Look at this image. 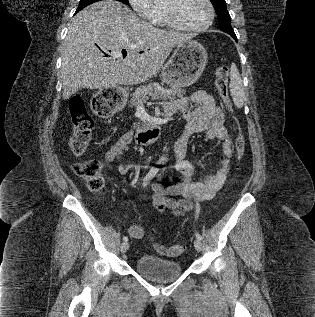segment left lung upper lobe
I'll return each instance as SVG.
<instances>
[{
  "label": "left lung upper lobe",
  "mask_w": 315,
  "mask_h": 317,
  "mask_svg": "<svg viewBox=\"0 0 315 317\" xmlns=\"http://www.w3.org/2000/svg\"><path fill=\"white\" fill-rule=\"evenodd\" d=\"M213 4L218 20H219V27L220 30L228 33L229 35H235L234 30L231 26V17L226 8L225 0H210Z\"/></svg>",
  "instance_id": "obj_1"
}]
</instances>
